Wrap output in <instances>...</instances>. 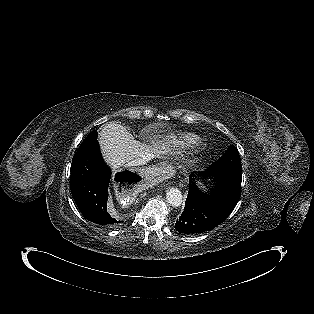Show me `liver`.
<instances>
[{"label":"liver","mask_w":314,"mask_h":314,"mask_svg":"<svg viewBox=\"0 0 314 314\" xmlns=\"http://www.w3.org/2000/svg\"><path fill=\"white\" fill-rule=\"evenodd\" d=\"M105 161L115 170L128 162L144 156H160L167 153L166 145L154 144V147L137 141L127 129L117 123L105 124L98 136Z\"/></svg>","instance_id":"6515ba94"}]
</instances>
